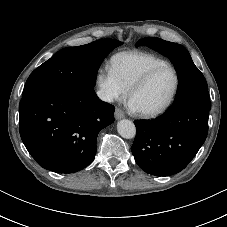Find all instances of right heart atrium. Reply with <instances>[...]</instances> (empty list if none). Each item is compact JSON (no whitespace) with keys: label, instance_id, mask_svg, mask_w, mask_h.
<instances>
[{"label":"right heart atrium","instance_id":"d8ad5b80","mask_svg":"<svg viewBox=\"0 0 227 227\" xmlns=\"http://www.w3.org/2000/svg\"><path fill=\"white\" fill-rule=\"evenodd\" d=\"M99 95L105 102L111 103L125 97L127 89L122 85L111 66L100 68L96 75Z\"/></svg>","mask_w":227,"mask_h":227}]
</instances>
